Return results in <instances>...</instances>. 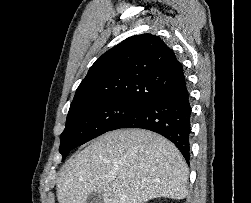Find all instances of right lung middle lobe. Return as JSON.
<instances>
[{"label":"right lung middle lobe","instance_id":"obj_1","mask_svg":"<svg viewBox=\"0 0 251 203\" xmlns=\"http://www.w3.org/2000/svg\"><path fill=\"white\" fill-rule=\"evenodd\" d=\"M143 105L121 101H96L71 105L66 126L60 136L63 159L70 150L111 131L113 127Z\"/></svg>","mask_w":251,"mask_h":203}]
</instances>
